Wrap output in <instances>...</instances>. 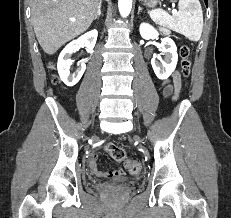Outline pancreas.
<instances>
[{
    "label": "pancreas",
    "mask_w": 231,
    "mask_h": 218,
    "mask_svg": "<svg viewBox=\"0 0 231 218\" xmlns=\"http://www.w3.org/2000/svg\"><path fill=\"white\" fill-rule=\"evenodd\" d=\"M160 31L163 32L166 35L170 34V31L167 28H165V27H160Z\"/></svg>",
    "instance_id": "1"
}]
</instances>
